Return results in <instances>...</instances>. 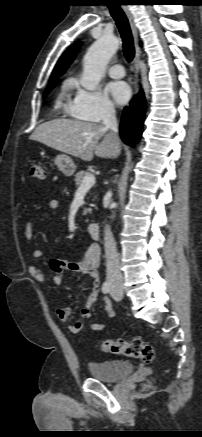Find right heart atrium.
<instances>
[{"label":"right heart atrium","instance_id":"1","mask_svg":"<svg viewBox=\"0 0 202 437\" xmlns=\"http://www.w3.org/2000/svg\"><path fill=\"white\" fill-rule=\"evenodd\" d=\"M68 111L78 119L98 122L114 116L115 106L102 91H90L76 87Z\"/></svg>","mask_w":202,"mask_h":437}]
</instances>
